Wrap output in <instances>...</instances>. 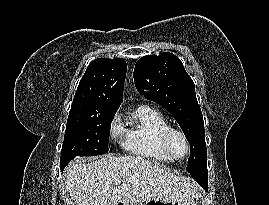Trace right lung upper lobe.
<instances>
[{"instance_id": "obj_1", "label": "right lung upper lobe", "mask_w": 269, "mask_h": 205, "mask_svg": "<svg viewBox=\"0 0 269 205\" xmlns=\"http://www.w3.org/2000/svg\"><path fill=\"white\" fill-rule=\"evenodd\" d=\"M126 70L123 58L93 60L79 83L71 109L116 113L123 100Z\"/></svg>"}]
</instances>
